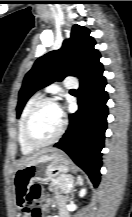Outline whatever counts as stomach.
Wrapping results in <instances>:
<instances>
[{"label":"stomach","mask_w":132,"mask_h":217,"mask_svg":"<svg viewBox=\"0 0 132 217\" xmlns=\"http://www.w3.org/2000/svg\"><path fill=\"white\" fill-rule=\"evenodd\" d=\"M70 170L71 161L68 156L61 151H56L40 155L18 167L13 175V182L15 188L29 187L35 181L46 182Z\"/></svg>","instance_id":"obj_1"}]
</instances>
